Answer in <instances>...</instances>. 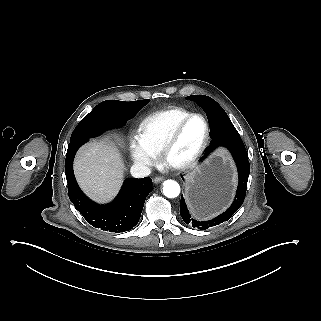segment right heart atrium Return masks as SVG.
Listing matches in <instances>:
<instances>
[{
  "label": "right heart atrium",
  "mask_w": 321,
  "mask_h": 321,
  "mask_svg": "<svg viewBox=\"0 0 321 321\" xmlns=\"http://www.w3.org/2000/svg\"><path fill=\"white\" fill-rule=\"evenodd\" d=\"M130 154L134 164L143 172H149L158 160L157 153L146 144L139 133L131 136Z\"/></svg>",
  "instance_id": "obj_1"
}]
</instances>
